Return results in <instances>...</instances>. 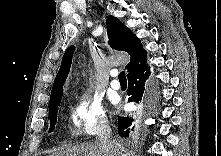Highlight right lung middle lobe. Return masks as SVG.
<instances>
[{
    "label": "right lung middle lobe",
    "mask_w": 221,
    "mask_h": 156,
    "mask_svg": "<svg viewBox=\"0 0 221 156\" xmlns=\"http://www.w3.org/2000/svg\"><path fill=\"white\" fill-rule=\"evenodd\" d=\"M61 99L57 100L55 103L49 106V119H50V132L53 131L55 123L57 121L58 105Z\"/></svg>",
    "instance_id": "dd1d6c3e"
}]
</instances>
